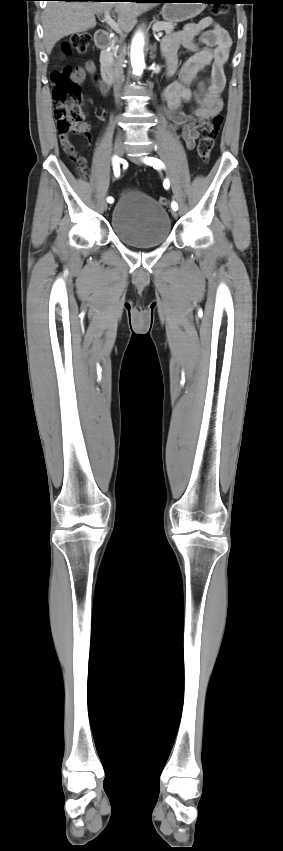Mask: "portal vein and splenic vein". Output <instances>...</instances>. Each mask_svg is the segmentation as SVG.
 I'll return each instance as SVG.
<instances>
[{"instance_id": "18ae733b", "label": "portal vein and splenic vein", "mask_w": 283, "mask_h": 851, "mask_svg": "<svg viewBox=\"0 0 283 851\" xmlns=\"http://www.w3.org/2000/svg\"><path fill=\"white\" fill-rule=\"evenodd\" d=\"M104 21L116 32L122 34V30L119 25L111 18L109 11L104 12ZM163 36V33L160 32L157 34L156 38H160Z\"/></svg>"}]
</instances>
